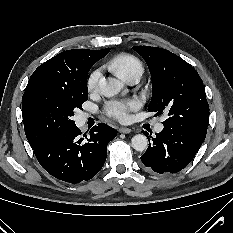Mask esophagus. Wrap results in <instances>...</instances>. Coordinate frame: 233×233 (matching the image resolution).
I'll list each match as a JSON object with an SVG mask.
<instances>
[{"label": "esophagus", "instance_id": "1", "mask_svg": "<svg viewBox=\"0 0 233 233\" xmlns=\"http://www.w3.org/2000/svg\"><path fill=\"white\" fill-rule=\"evenodd\" d=\"M132 130H131V128H128V127H120L119 128V132L120 133H125V134H127V133H130Z\"/></svg>", "mask_w": 233, "mask_h": 233}]
</instances>
